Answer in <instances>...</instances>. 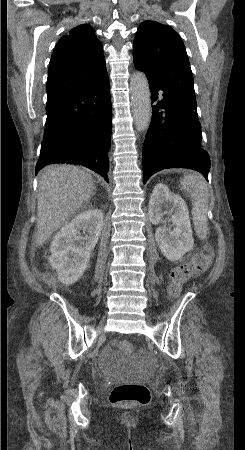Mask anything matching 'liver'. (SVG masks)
<instances>
[{
	"label": "liver",
	"mask_w": 245,
	"mask_h": 450,
	"mask_svg": "<svg viewBox=\"0 0 245 450\" xmlns=\"http://www.w3.org/2000/svg\"><path fill=\"white\" fill-rule=\"evenodd\" d=\"M92 177L72 165H51L40 174L37 196L36 245L42 246L95 191Z\"/></svg>",
	"instance_id": "obj_1"
}]
</instances>
